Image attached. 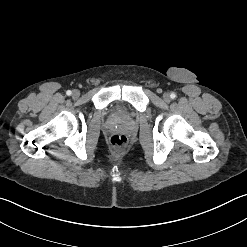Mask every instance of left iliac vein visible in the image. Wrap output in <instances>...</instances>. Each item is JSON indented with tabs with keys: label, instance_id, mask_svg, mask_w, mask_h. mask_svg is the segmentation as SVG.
I'll return each mask as SVG.
<instances>
[{
	"label": "left iliac vein",
	"instance_id": "4c4485c4",
	"mask_svg": "<svg viewBox=\"0 0 247 247\" xmlns=\"http://www.w3.org/2000/svg\"><path fill=\"white\" fill-rule=\"evenodd\" d=\"M163 99H164L165 102H170V100H171L170 94L169 93H164L163 94Z\"/></svg>",
	"mask_w": 247,
	"mask_h": 247
}]
</instances>
